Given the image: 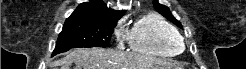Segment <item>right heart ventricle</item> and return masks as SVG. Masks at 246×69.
<instances>
[{"instance_id": "obj_1", "label": "right heart ventricle", "mask_w": 246, "mask_h": 69, "mask_svg": "<svg viewBox=\"0 0 246 69\" xmlns=\"http://www.w3.org/2000/svg\"><path fill=\"white\" fill-rule=\"evenodd\" d=\"M133 51L168 57L179 53L182 41L177 29L157 12L142 15L129 32Z\"/></svg>"}]
</instances>
